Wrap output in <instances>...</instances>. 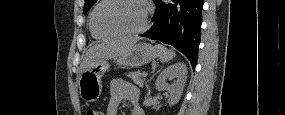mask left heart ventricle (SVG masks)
<instances>
[{"mask_svg": "<svg viewBox=\"0 0 285 115\" xmlns=\"http://www.w3.org/2000/svg\"><path fill=\"white\" fill-rule=\"evenodd\" d=\"M143 6L131 0L111 1L104 4L97 14L98 22L117 31L132 32L143 24Z\"/></svg>", "mask_w": 285, "mask_h": 115, "instance_id": "obj_1", "label": "left heart ventricle"}]
</instances>
